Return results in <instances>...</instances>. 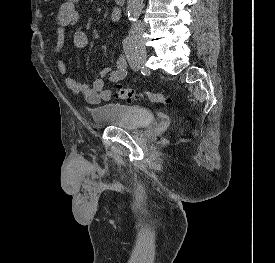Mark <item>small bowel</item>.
<instances>
[{
    "mask_svg": "<svg viewBox=\"0 0 275 263\" xmlns=\"http://www.w3.org/2000/svg\"><path fill=\"white\" fill-rule=\"evenodd\" d=\"M80 0H66L57 12L56 47L57 69L61 74L67 73V67L60 53L65 43V34L68 27L74 26L78 21L76 6ZM121 18V11L113 9L110 19L118 22ZM73 46L76 49H83L88 44V36L81 28H76L73 32ZM129 72V65L124 55H119L115 62V68L105 67L101 70L100 76L93 80L90 85L83 84L71 76L65 79L66 86L73 93L83 96L92 105L102 102H109L112 98L111 90L106 86V80L111 83L123 81Z\"/></svg>",
    "mask_w": 275,
    "mask_h": 263,
    "instance_id": "c3829d8e",
    "label": "small bowel"
}]
</instances>
